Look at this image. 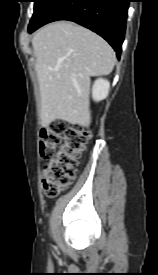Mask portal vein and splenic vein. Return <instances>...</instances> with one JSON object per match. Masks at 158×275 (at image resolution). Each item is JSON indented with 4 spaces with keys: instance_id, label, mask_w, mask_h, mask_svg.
Instances as JSON below:
<instances>
[{
    "instance_id": "obj_1",
    "label": "portal vein and splenic vein",
    "mask_w": 158,
    "mask_h": 275,
    "mask_svg": "<svg viewBox=\"0 0 158 275\" xmlns=\"http://www.w3.org/2000/svg\"><path fill=\"white\" fill-rule=\"evenodd\" d=\"M54 70H55V71H57V70H58V68H54Z\"/></svg>"
}]
</instances>
